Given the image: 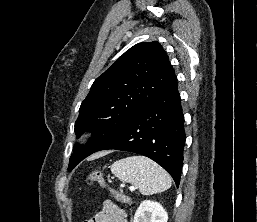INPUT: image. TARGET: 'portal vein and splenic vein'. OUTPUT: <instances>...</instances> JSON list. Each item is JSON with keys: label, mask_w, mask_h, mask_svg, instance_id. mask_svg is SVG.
<instances>
[{"label": "portal vein and splenic vein", "mask_w": 257, "mask_h": 222, "mask_svg": "<svg viewBox=\"0 0 257 222\" xmlns=\"http://www.w3.org/2000/svg\"><path fill=\"white\" fill-rule=\"evenodd\" d=\"M129 189H130V190H135V188H134V187H130Z\"/></svg>", "instance_id": "portal-vein-and-splenic-vein-1"}]
</instances>
